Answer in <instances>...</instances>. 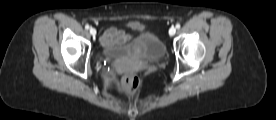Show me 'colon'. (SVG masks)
Returning <instances> with one entry per match:
<instances>
[{
  "mask_svg": "<svg viewBox=\"0 0 276 120\" xmlns=\"http://www.w3.org/2000/svg\"><path fill=\"white\" fill-rule=\"evenodd\" d=\"M122 85L127 93L134 94L139 89L140 81L136 73L128 71L124 74Z\"/></svg>",
  "mask_w": 276,
  "mask_h": 120,
  "instance_id": "colon-1",
  "label": "colon"
}]
</instances>
